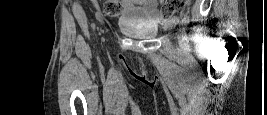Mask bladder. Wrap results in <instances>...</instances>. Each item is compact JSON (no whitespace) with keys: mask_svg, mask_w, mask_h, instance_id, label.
I'll return each instance as SVG.
<instances>
[{"mask_svg":"<svg viewBox=\"0 0 267 115\" xmlns=\"http://www.w3.org/2000/svg\"><path fill=\"white\" fill-rule=\"evenodd\" d=\"M120 28L123 33L129 36L135 37V38H140V39L152 38L158 32V29L156 26L149 25V24H142V25L122 24Z\"/></svg>","mask_w":267,"mask_h":115,"instance_id":"bladder-1","label":"bladder"}]
</instances>
